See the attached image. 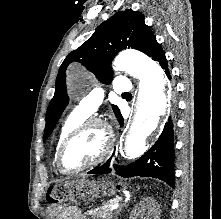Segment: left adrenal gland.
I'll list each match as a JSON object with an SVG mask.
<instances>
[{
  "mask_svg": "<svg viewBox=\"0 0 221 219\" xmlns=\"http://www.w3.org/2000/svg\"><path fill=\"white\" fill-rule=\"evenodd\" d=\"M121 211V208H119V211L118 212H120Z\"/></svg>",
  "mask_w": 221,
  "mask_h": 219,
  "instance_id": "1",
  "label": "left adrenal gland"
}]
</instances>
